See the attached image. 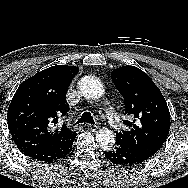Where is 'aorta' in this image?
I'll use <instances>...</instances> for the list:
<instances>
[{
	"instance_id": "obj_1",
	"label": "aorta",
	"mask_w": 188,
	"mask_h": 188,
	"mask_svg": "<svg viewBox=\"0 0 188 188\" xmlns=\"http://www.w3.org/2000/svg\"><path fill=\"white\" fill-rule=\"evenodd\" d=\"M80 90L83 95L87 98L98 99L104 94V87L101 81L94 76H85L81 79ZM114 133L103 127L99 129L96 133V140L100 143V146L104 149H109L112 147L115 139Z\"/></svg>"
}]
</instances>
